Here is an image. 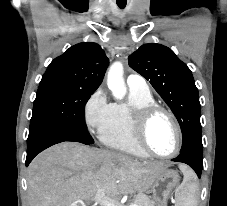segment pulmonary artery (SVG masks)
Returning a JSON list of instances; mask_svg holds the SVG:
<instances>
[{
    "label": "pulmonary artery",
    "instance_id": "1",
    "mask_svg": "<svg viewBox=\"0 0 227 206\" xmlns=\"http://www.w3.org/2000/svg\"><path fill=\"white\" fill-rule=\"evenodd\" d=\"M126 83L130 90L139 92L149 91L146 80L138 74H130L126 79Z\"/></svg>",
    "mask_w": 227,
    "mask_h": 206
}]
</instances>
